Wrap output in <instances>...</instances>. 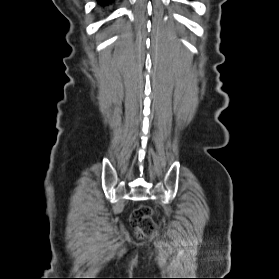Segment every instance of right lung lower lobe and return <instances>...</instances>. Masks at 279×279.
Instances as JSON below:
<instances>
[{
    "instance_id": "right-lung-lower-lobe-1",
    "label": "right lung lower lobe",
    "mask_w": 279,
    "mask_h": 279,
    "mask_svg": "<svg viewBox=\"0 0 279 279\" xmlns=\"http://www.w3.org/2000/svg\"><path fill=\"white\" fill-rule=\"evenodd\" d=\"M97 1L99 2V5H101V6H107L110 3L114 2V0H97Z\"/></svg>"
}]
</instances>
